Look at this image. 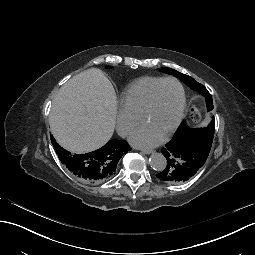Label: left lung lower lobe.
Masks as SVG:
<instances>
[{"mask_svg":"<svg viewBox=\"0 0 255 255\" xmlns=\"http://www.w3.org/2000/svg\"><path fill=\"white\" fill-rule=\"evenodd\" d=\"M161 152L167 158L168 165L156 177L170 184H180L192 178L208 160L207 152L201 150L199 143L187 138L173 145L166 144Z\"/></svg>","mask_w":255,"mask_h":255,"instance_id":"obj_1","label":"left lung lower lobe"}]
</instances>
